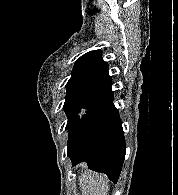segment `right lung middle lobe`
Listing matches in <instances>:
<instances>
[{"label": "right lung middle lobe", "mask_w": 178, "mask_h": 195, "mask_svg": "<svg viewBox=\"0 0 178 195\" xmlns=\"http://www.w3.org/2000/svg\"><path fill=\"white\" fill-rule=\"evenodd\" d=\"M97 97L76 95L66 96V100L63 106L64 111L68 117L66 130H69V135L72 133L74 128L81 122L82 118L78 115L81 109L86 110V113L93 105Z\"/></svg>", "instance_id": "obj_1"}]
</instances>
